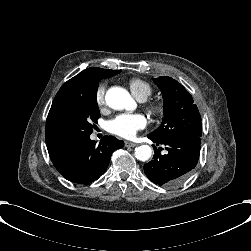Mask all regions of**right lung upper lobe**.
<instances>
[{
    "label": "right lung upper lobe",
    "instance_id": "obj_1",
    "mask_svg": "<svg viewBox=\"0 0 251 251\" xmlns=\"http://www.w3.org/2000/svg\"><path fill=\"white\" fill-rule=\"evenodd\" d=\"M115 70L102 69L97 67L88 68L62 85L57 92L46 120V145L48 152L60 148L70 142L56 125L54 119V107L63 99L73 96L86 88L89 82L107 78Z\"/></svg>",
    "mask_w": 251,
    "mask_h": 251
}]
</instances>
